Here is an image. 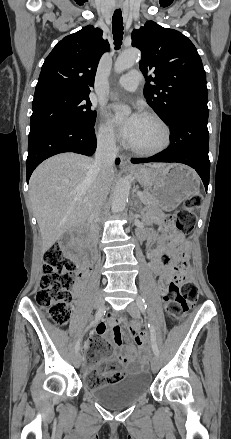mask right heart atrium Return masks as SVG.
<instances>
[{
  "mask_svg": "<svg viewBox=\"0 0 231 439\" xmlns=\"http://www.w3.org/2000/svg\"><path fill=\"white\" fill-rule=\"evenodd\" d=\"M96 137L100 145L112 148L116 145V134L113 128L104 120H101L96 128Z\"/></svg>",
  "mask_w": 231,
  "mask_h": 439,
  "instance_id": "obj_1",
  "label": "right heart atrium"
}]
</instances>
